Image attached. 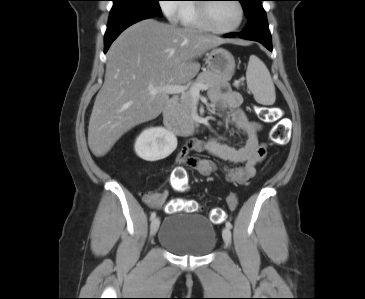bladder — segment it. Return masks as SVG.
Masks as SVG:
<instances>
[{
    "mask_svg": "<svg viewBox=\"0 0 365 299\" xmlns=\"http://www.w3.org/2000/svg\"><path fill=\"white\" fill-rule=\"evenodd\" d=\"M157 239L174 254L201 257L216 247L217 232L214 224L204 215L173 213L164 220Z\"/></svg>",
    "mask_w": 365,
    "mask_h": 299,
    "instance_id": "obj_1",
    "label": "bladder"
}]
</instances>
